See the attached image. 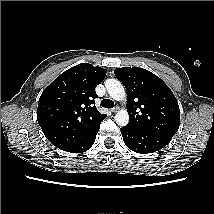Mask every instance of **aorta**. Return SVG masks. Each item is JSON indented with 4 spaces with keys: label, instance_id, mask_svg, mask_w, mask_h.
<instances>
[{
    "label": "aorta",
    "instance_id": "762f6f07",
    "mask_svg": "<svg viewBox=\"0 0 214 214\" xmlns=\"http://www.w3.org/2000/svg\"><path fill=\"white\" fill-rule=\"evenodd\" d=\"M105 87L109 95L116 101H122L126 98V93L123 85L116 79H107L105 81ZM115 122L117 125L123 127L126 126L129 122V114L127 110H119L115 114Z\"/></svg>",
    "mask_w": 214,
    "mask_h": 214
}]
</instances>
